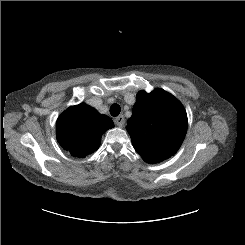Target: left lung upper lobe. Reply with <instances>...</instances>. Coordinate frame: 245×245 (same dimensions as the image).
<instances>
[{
    "label": "left lung upper lobe",
    "mask_w": 245,
    "mask_h": 245,
    "mask_svg": "<svg viewBox=\"0 0 245 245\" xmlns=\"http://www.w3.org/2000/svg\"><path fill=\"white\" fill-rule=\"evenodd\" d=\"M187 114L170 93L139 91L126 129L135 150L147 163H158L180 148L187 132Z\"/></svg>",
    "instance_id": "5c2ea615"
}]
</instances>
